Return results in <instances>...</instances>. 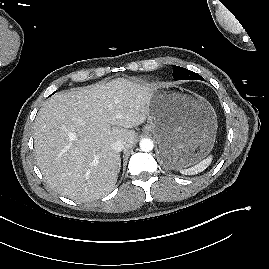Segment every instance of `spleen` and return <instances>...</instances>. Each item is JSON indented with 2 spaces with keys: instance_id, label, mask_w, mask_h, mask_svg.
<instances>
[{
  "instance_id": "spleen-1",
  "label": "spleen",
  "mask_w": 269,
  "mask_h": 269,
  "mask_svg": "<svg viewBox=\"0 0 269 269\" xmlns=\"http://www.w3.org/2000/svg\"><path fill=\"white\" fill-rule=\"evenodd\" d=\"M211 161H212V155L208 156L206 159L200 161L199 163L190 168H181L180 172L185 175L197 174L199 172L204 171L211 164Z\"/></svg>"
}]
</instances>
